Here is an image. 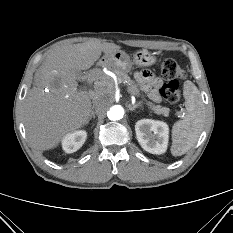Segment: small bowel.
<instances>
[{
	"mask_svg": "<svg viewBox=\"0 0 233 233\" xmlns=\"http://www.w3.org/2000/svg\"><path fill=\"white\" fill-rule=\"evenodd\" d=\"M136 79L140 83L142 90L148 94L153 102L158 103L161 101L159 89L162 86V81L159 77L148 70H143L136 74Z\"/></svg>",
	"mask_w": 233,
	"mask_h": 233,
	"instance_id": "small-bowel-1",
	"label": "small bowel"
}]
</instances>
